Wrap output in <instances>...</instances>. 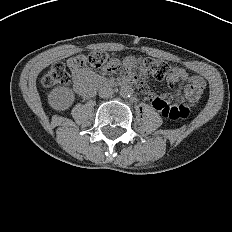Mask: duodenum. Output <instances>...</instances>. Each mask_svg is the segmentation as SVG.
I'll list each match as a JSON object with an SVG mask.
<instances>
[{
    "mask_svg": "<svg viewBox=\"0 0 232 232\" xmlns=\"http://www.w3.org/2000/svg\"><path fill=\"white\" fill-rule=\"evenodd\" d=\"M134 82L133 78H126L120 81H113L105 78H96L92 80L84 90V97H91L99 88L126 86Z\"/></svg>",
    "mask_w": 232,
    "mask_h": 232,
    "instance_id": "410a0bca",
    "label": "duodenum"
}]
</instances>
